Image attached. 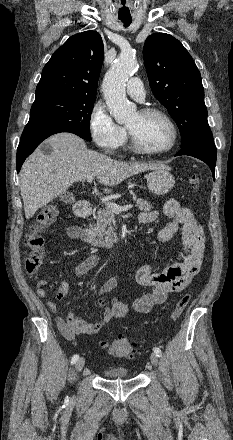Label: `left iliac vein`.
Here are the masks:
<instances>
[{"label": "left iliac vein", "instance_id": "1", "mask_svg": "<svg viewBox=\"0 0 233 440\" xmlns=\"http://www.w3.org/2000/svg\"><path fill=\"white\" fill-rule=\"evenodd\" d=\"M150 360H151V363H152L154 366H157V365L159 364V358H158V356H157L156 353H152V354H151V356H150Z\"/></svg>", "mask_w": 233, "mask_h": 440}]
</instances>
